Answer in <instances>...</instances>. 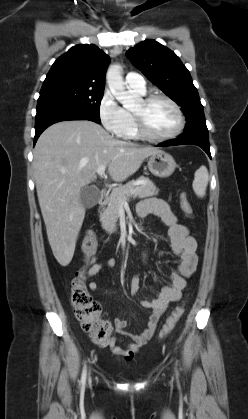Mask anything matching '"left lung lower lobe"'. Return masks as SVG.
Here are the masks:
<instances>
[{
    "instance_id": "1",
    "label": "left lung lower lobe",
    "mask_w": 248,
    "mask_h": 419,
    "mask_svg": "<svg viewBox=\"0 0 248 419\" xmlns=\"http://www.w3.org/2000/svg\"><path fill=\"white\" fill-rule=\"evenodd\" d=\"M181 144L197 145L201 147L211 158L208 129L206 125L196 126L192 129L186 130L180 137L158 144V146L164 147Z\"/></svg>"
}]
</instances>
